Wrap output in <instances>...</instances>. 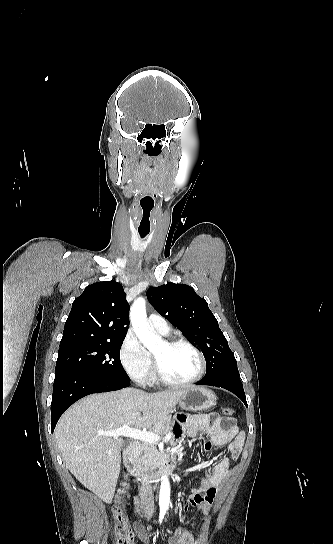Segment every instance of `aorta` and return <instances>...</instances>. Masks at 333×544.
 Returning <instances> with one entry per match:
<instances>
[{"label":"aorta","instance_id":"aorta-1","mask_svg":"<svg viewBox=\"0 0 333 544\" xmlns=\"http://www.w3.org/2000/svg\"><path fill=\"white\" fill-rule=\"evenodd\" d=\"M146 301L143 297L137 298L130 309V319L133 330L141 343L150 351L162 346L163 341L149 326L146 319ZM170 502V484L167 476L162 477L159 505L168 508Z\"/></svg>","mask_w":333,"mask_h":544}]
</instances>
